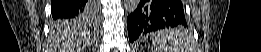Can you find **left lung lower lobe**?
<instances>
[{"label": "left lung lower lobe", "mask_w": 261, "mask_h": 52, "mask_svg": "<svg viewBox=\"0 0 261 52\" xmlns=\"http://www.w3.org/2000/svg\"><path fill=\"white\" fill-rule=\"evenodd\" d=\"M185 25L181 0H141L127 18L130 42L152 31Z\"/></svg>", "instance_id": "0a47b994"}]
</instances>
